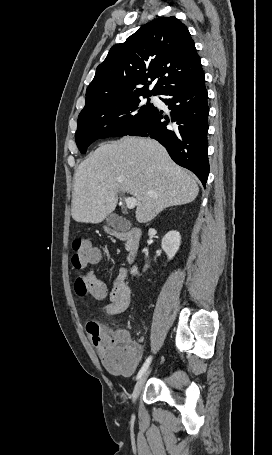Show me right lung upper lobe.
Wrapping results in <instances>:
<instances>
[{"label":"right lung upper lobe","instance_id":"cb5924a9","mask_svg":"<svg viewBox=\"0 0 272 455\" xmlns=\"http://www.w3.org/2000/svg\"><path fill=\"white\" fill-rule=\"evenodd\" d=\"M202 71L187 27L176 17H159L110 49L86 90L81 113L134 95L161 94Z\"/></svg>","mask_w":272,"mask_h":455}]
</instances>
